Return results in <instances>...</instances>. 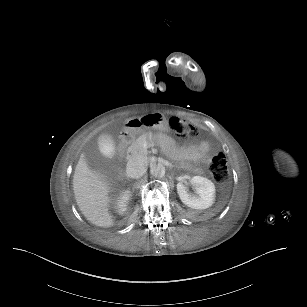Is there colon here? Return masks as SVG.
Returning <instances> with one entry per match:
<instances>
[{
  "label": "colon",
  "instance_id": "obj_1",
  "mask_svg": "<svg viewBox=\"0 0 307 307\" xmlns=\"http://www.w3.org/2000/svg\"><path fill=\"white\" fill-rule=\"evenodd\" d=\"M168 125L181 141H187L195 138L199 132L195 125L187 123L176 116L169 118ZM208 161L214 179L218 183L226 182L228 178L227 156L223 153H216L209 156Z\"/></svg>",
  "mask_w": 307,
  "mask_h": 307
}]
</instances>
